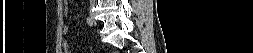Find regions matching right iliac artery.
Here are the masks:
<instances>
[{
    "mask_svg": "<svg viewBox=\"0 0 253 53\" xmlns=\"http://www.w3.org/2000/svg\"><path fill=\"white\" fill-rule=\"evenodd\" d=\"M86 22H87V24H88L89 26H92V25H93V19L90 18V17H88V18L86 19Z\"/></svg>",
    "mask_w": 253,
    "mask_h": 53,
    "instance_id": "obj_1",
    "label": "right iliac artery"
}]
</instances>
